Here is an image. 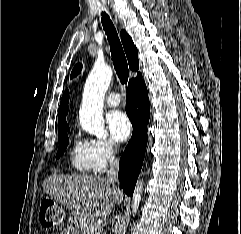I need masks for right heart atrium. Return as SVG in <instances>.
I'll return each mask as SVG.
<instances>
[{"instance_id":"obj_1","label":"right heart atrium","mask_w":241,"mask_h":234,"mask_svg":"<svg viewBox=\"0 0 241 234\" xmlns=\"http://www.w3.org/2000/svg\"><path fill=\"white\" fill-rule=\"evenodd\" d=\"M89 144L93 155L94 171H104L117 158L118 145L113 139H92Z\"/></svg>"}]
</instances>
